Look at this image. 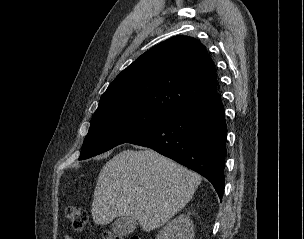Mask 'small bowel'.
Returning a JSON list of instances; mask_svg holds the SVG:
<instances>
[{
    "instance_id": "small-bowel-1",
    "label": "small bowel",
    "mask_w": 304,
    "mask_h": 239,
    "mask_svg": "<svg viewBox=\"0 0 304 239\" xmlns=\"http://www.w3.org/2000/svg\"><path fill=\"white\" fill-rule=\"evenodd\" d=\"M63 239H74L72 236H70L69 234H65L63 236Z\"/></svg>"
}]
</instances>
